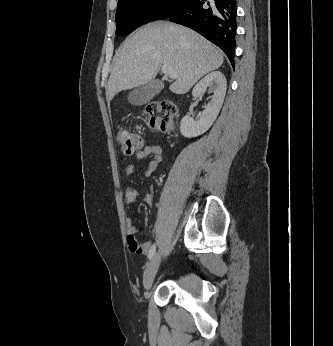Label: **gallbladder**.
Segmentation results:
<instances>
[{
  "mask_svg": "<svg viewBox=\"0 0 333 346\" xmlns=\"http://www.w3.org/2000/svg\"><path fill=\"white\" fill-rule=\"evenodd\" d=\"M164 88L160 80H152L145 85L133 89L128 95V101L132 105L140 106L148 103Z\"/></svg>",
  "mask_w": 333,
  "mask_h": 346,
  "instance_id": "bac80fb5",
  "label": "gallbladder"
}]
</instances>
